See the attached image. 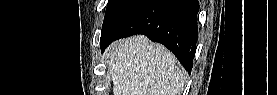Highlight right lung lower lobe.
Segmentation results:
<instances>
[{
    "label": "right lung lower lobe",
    "mask_w": 277,
    "mask_h": 95,
    "mask_svg": "<svg viewBox=\"0 0 277 95\" xmlns=\"http://www.w3.org/2000/svg\"><path fill=\"white\" fill-rule=\"evenodd\" d=\"M197 0H145L100 44L102 52L122 37L144 34L162 43L191 73L196 51Z\"/></svg>",
    "instance_id": "98d812e1"
}]
</instances>
